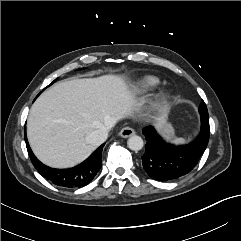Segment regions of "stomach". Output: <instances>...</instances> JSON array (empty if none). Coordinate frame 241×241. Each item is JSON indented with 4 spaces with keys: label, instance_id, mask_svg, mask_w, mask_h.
Segmentation results:
<instances>
[{
    "label": "stomach",
    "instance_id": "0dacf381",
    "mask_svg": "<svg viewBox=\"0 0 241 241\" xmlns=\"http://www.w3.org/2000/svg\"><path fill=\"white\" fill-rule=\"evenodd\" d=\"M159 132L166 139H170L174 135V129H173L172 125L166 121H164L160 124Z\"/></svg>",
    "mask_w": 241,
    "mask_h": 241
}]
</instances>
